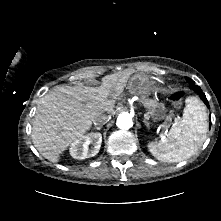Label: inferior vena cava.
I'll return each instance as SVG.
<instances>
[{"label":"inferior vena cava","instance_id":"1","mask_svg":"<svg viewBox=\"0 0 221 221\" xmlns=\"http://www.w3.org/2000/svg\"><path fill=\"white\" fill-rule=\"evenodd\" d=\"M110 116L108 114H99L93 119L94 125L101 126L109 121Z\"/></svg>","mask_w":221,"mask_h":221}]
</instances>
